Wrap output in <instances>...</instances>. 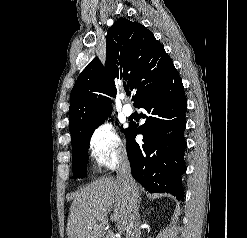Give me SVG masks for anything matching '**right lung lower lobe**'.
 <instances>
[{
    "mask_svg": "<svg viewBox=\"0 0 247 238\" xmlns=\"http://www.w3.org/2000/svg\"><path fill=\"white\" fill-rule=\"evenodd\" d=\"M134 106L145 109L147 115L142 126L130 124L125 133L132 176L151 193L167 192L181 200L187 100L175 67ZM137 134L143 135V143L135 141Z\"/></svg>",
    "mask_w": 247,
    "mask_h": 238,
    "instance_id": "98d812e1",
    "label": "right lung lower lobe"
}]
</instances>
